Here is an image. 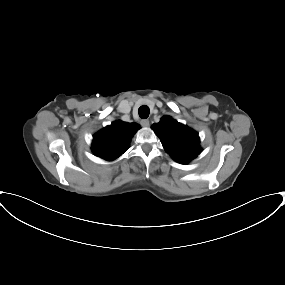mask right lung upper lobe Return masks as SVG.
I'll return each instance as SVG.
<instances>
[{
  "label": "right lung upper lobe",
  "mask_w": 285,
  "mask_h": 285,
  "mask_svg": "<svg viewBox=\"0 0 285 285\" xmlns=\"http://www.w3.org/2000/svg\"><path fill=\"white\" fill-rule=\"evenodd\" d=\"M138 129L137 123L113 122L94 135L93 153L107 161L115 160L129 148V141Z\"/></svg>",
  "instance_id": "right-lung-upper-lobe-1"
}]
</instances>
